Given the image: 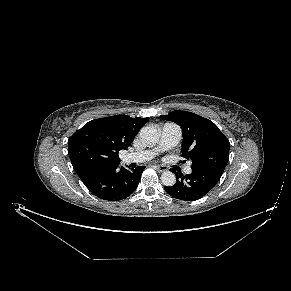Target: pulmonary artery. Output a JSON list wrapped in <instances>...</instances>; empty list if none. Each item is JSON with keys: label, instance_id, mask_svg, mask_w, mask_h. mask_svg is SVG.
<instances>
[{"label": "pulmonary artery", "instance_id": "pulmonary-artery-1", "mask_svg": "<svg viewBox=\"0 0 291 291\" xmlns=\"http://www.w3.org/2000/svg\"><path fill=\"white\" fill-rule=\"evenodd\" d=\"M181 135L182 130L177 124L166 123L162 127L160 141L156 147L140 152L129 153L124 156L123 160L126 163L148 161L160 152L174 147L179 142ZM184 172L190 174L192 169L186 167Z\"/></svg>", "mask_w": 291, "mask_h": 291}]
</instances>
